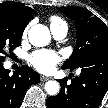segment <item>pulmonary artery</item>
<instances>
[{
    "instance_id": "1",
    "label": "pulmonary artery",
    "mask_w": 108,
    "mask_h": 108,
    "mask_svg": "<svg viewBox=\"0 0 108 108\" xmlns=\"http://www.w3.org/2000/svg\"><path fill=\"white\" fill-rule=\"evenodd\" d=\"M52 35L57 40H62L66 37L68 32V26L67 24H56L50 26Z\"/></svg>"
}]
</instances>
